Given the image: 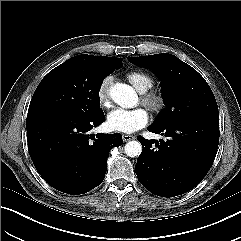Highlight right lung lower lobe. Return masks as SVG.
Masks as SVG:
<instances>
[{"instance_id": "right-lung-lower-lobe-1", "label": "right lung lower lobe", "mask_w": 241, "mask_h": 241, "mask_svg": "<svg viewBox=\"0 0 241 241\" xmlns=\"http://www.w3.org/2000/svg\"><path fill=\"white\" fill-rule=\"evenodd\" d=\"M104 121L103 112L89 118L64 113L27 117L29 153L50 186L79 195L103 182L109 151L123 143L120 133L89 134Z\"/></svg>"}]
</instances>
